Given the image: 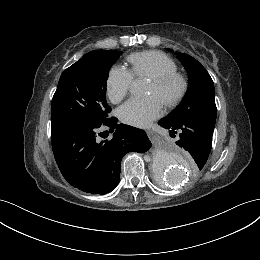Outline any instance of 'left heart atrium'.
<instances>
[{"instance_id": "39dd6f15", "label": "left heart atrium", "mask_w": 260, "mask_h": 260, "mask_svg": "<svg viewBox=\"0 0 260 260\" xmlns=\"http://www.w3.org/2000/svg\"><path fill=\"white\" fill-rule=\"evenodd\" d=\"M162 101L155 95L143 98H131L118 110V116L124 123L134 126H146L159 116Z\"/></svg>"}]
</instances>
